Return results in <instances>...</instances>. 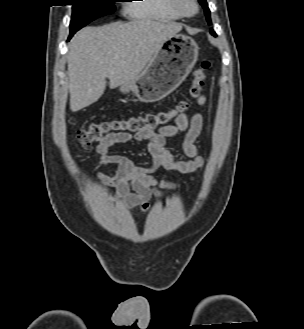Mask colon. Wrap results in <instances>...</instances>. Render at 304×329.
<instances>
[{
  "label": "colon",
  "mask_w": 304,
  "mask_h": 329,
  "mask_svg": "<svg viewBox=\"0 0 304 329\" xmlns=\"http://www.w3.org/2000/svg\"><path fill=\"white\" fill-rule=\"evenodd\" d=\"M210 66L211 63L208 60L201 63L200 67L194 72L189 96L180 99L173 108L148 112L143 115L93 122L86 129L78 131L76 139L79 145L88 148L93 143L113 134L128 133L149 136L157 129L166 127L176 116L184 113L189 108L190 99L200 94Z\"/></svg>",
  "instance_id": "obj_1"
}]
</instances>
